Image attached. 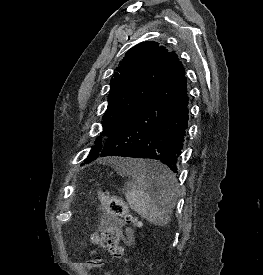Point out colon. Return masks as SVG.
I'll return each instance as SVG.
<instances>
[{
  "mask_svg": "<svg viewBox=\"0 0 263 275\" xmlns=\"http://www.w3.org/2000/svg\"><path fill=\"white\" fill-rule=\"evenodd\" d=\"M98 200L109 217L115 221L126 223H137V218L128 210L125 202L118 196L112 195L107 191L97 192ZM93 240L102 248L107 250L112 258L119 259L124 254L120 236L112 226L102 228L93 236ZM105 263L101 257L93 258L84 263L88 269L100 268Z\"/></svg>",
  "mask_w": 263,
  "mask_h": 275,
  "instance_id": "colon-1",
  "label": "colon"
}]
</instances>
